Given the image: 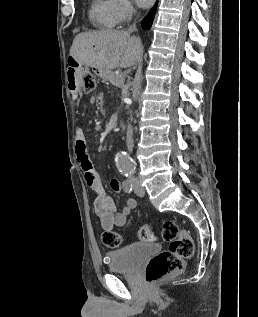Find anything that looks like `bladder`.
<instances>
[{"mask_svg":"<svg viewBox=\"0 0 258 317\" xmlns=\"http://www.w3.org/2000/svg\"><path fill=\"white\" fill-rule=\"evenodd\" d=\"M161 252V246L157 243L136 242L121 249L111 251L108 265L112 271H132L142 261Z\"/></svg>","mask_w":258,"mask_h":317,"instance_id":"1","label":"bladder"}]
</instances>
